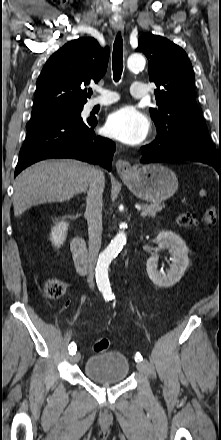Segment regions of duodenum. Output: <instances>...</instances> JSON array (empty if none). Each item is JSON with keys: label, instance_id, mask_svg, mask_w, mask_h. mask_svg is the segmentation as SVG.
Instances as JSON below:
<instances>
[{"label": "duodenum", "instance_id": "410a0bca", "mask_svg": "<svg viewBox=\"0 0 221 440\" xmlns=\"http://www.w3.org/2000/svg\"><path fill=\"white\" fill-rule=\"evenodd\" d=\"M71 249L76 269L81 274H85L89 268V257L84 238L82 236L74 237Z\"/></svg>", "mask_w": 221, "mask_h": 440}]
</instances>
